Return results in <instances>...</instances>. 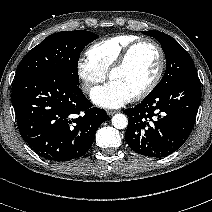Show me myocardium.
<instances>
[{
  "label": "myocardium",
  "instance_id": "obj_1",
  "mask_svg": "<svg viewBox=\"0 0 212 212\" xmlns=\"http://www.w3.org/2000/svg\"><path fill=\"white\" fill-rule=\"evenodd\" d=\"M144 44L151 45L157 51L158 57H159V63H158L157 71L155 75L153 76V78L151 79V81L142 90H140L138 93L132 96L131 99L134 101L141 100L145 98L146 96H148L159 84L164 73L165 62H166L165 53L162 47L156 41L152 39H148V38L137 39L136 41L132 42L130 45H128L125 48V50L121 53L117 61L111 66V68L108 71V79L111 80V77L113 76V74L121 70L127 64L133 51L137 47Z\"/></svg>",
  "mask_w": 212,
  "mask_h": 212
}]
</instances>
